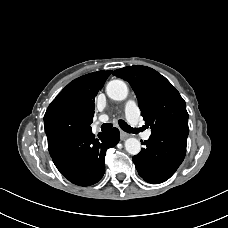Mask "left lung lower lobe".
<instances>
[{"mask_svg": "<svg viewBox=\"0 0 228 228\" xmlns=\"http://www.w3.org/2000/svg\"><path fill=\"white\" fill-rule=\"evenodd\" d=\"M141 152L133 157L139 175L148 183L168 180L182 163L187 141L169 133H152Z\"/></svg>", "mask_w": 228, "mask_h": 228, "instance_id": "left-lung-lower-lobe-1", "label": "left lung lower lobe"}]
</instances>
